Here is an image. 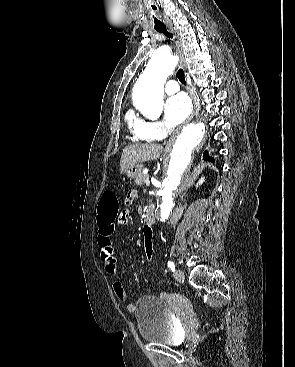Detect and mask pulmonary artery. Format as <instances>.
Segmentation results:
<instances>
[{
  "mask_svg": "<svg viewBox=\"0 0 295 367\" xmlns=\"http://www.w3.org/2000/svg\"><path fill=\"white\" fill-rule=\"evenodd\" d=\"M179 91V85L175 80H169L165 84V92L167 94H174Z\"/></svg>",
  "mask_w": 295,
  "mask_h": 367,
  "instance_id": "e3ab8cb5",
  "label": "pulmonary artery"
}]
</instances>
